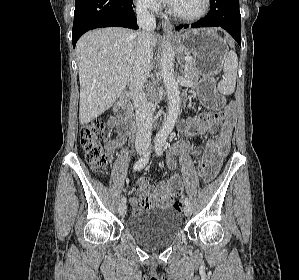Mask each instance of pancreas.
Instances as JSON below:
<instances>
[{
  "mask_svg": "<svg viewBox=\"0 0 299 280\" xmlns=\"http://www.w3.org/2000/svg\"><path fill=\"white\" fill-rule=\"evenodd\" d=\"M184 76L189 81L190 85H195L198 82L200 74L193 59L191 61L185 62Z\"/></svg>",
  "mask_w": 299,
  "mask_h": 280,
  "instance_id": "cf45deb5",
  "label": "pancreas"
}]
</instances>
